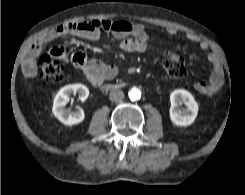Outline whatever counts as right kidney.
Segmentation results:
<instances>
[{
  "mask_svg": "<svg viewBox=\"0 0 245 195\" xmlns=\"http://www.w3.org/2000/svg\"><path fill=\"white\" fill-rule=\"evenodd\" d=\"M79 94V99L83 102L89 96L88 88L83 84L66 85L59 90L53 102L52 112L54 116L63 124L72 126L81 123L85 114L82 109L77 111H70L65 109L66 104L69 102L71 94Z\"/></svg>",
  "mask_w": 245,
  "mask_h": 195,
  "instance_id": "ca27d5eb",
  "label": "right kidney"
}]
</instances>
